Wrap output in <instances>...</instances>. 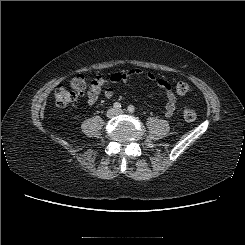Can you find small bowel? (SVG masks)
<instances>
[{
  "mask_svg": "<svg viewBox=\"0 0 245 245\" xmlns=\"http://www.w3.org/2000/svg\"><path fill=\"white\" fill-rule=\"evenodd\" d=\"M142 70L139 68L130 69L122 72H115L105 79L100 76H97L93 80L91 89L87 93V103L89 106H93L99 97L103 95L105 98H111L114 94L112 88L113 85H116L120 82L126 81L132 76L141 75ZM147 79L150 81H156L158 87L165 91L166 93V104H165V116L171 117L176 109L177 98L174 92L172 91L170 83L164 78L156 79L155 75L151 72L147 73Z\"/></svg>",
  "mask_w": 245,
  "mask_h": 245,
  "instance_id": "1",
  "label": "small bowel"
}]
</instances>
